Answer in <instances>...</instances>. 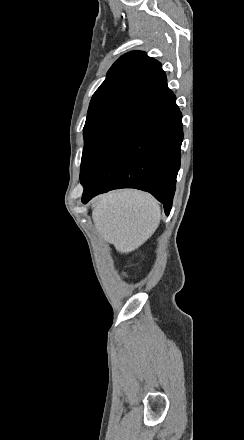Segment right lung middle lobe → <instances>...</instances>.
<instances>
[{
    "label": "right lung middle lobe",
    "instance_id": "dd1d6c3e",
    "mask_svg": "<svg viewBox=\"0 0 244 440\" xmlns=\"http://www.w3.org/2000/svg\"><path fill=\"white\" fill-rule=\"evenodd\" d=\"M139 100L137 97L120 96L90 103L83 130L80 178L85 175L92 158L114 126Z\"/></svg>",
    "mask_w": 244,
    "mask_h": 440
}]
</instances>
